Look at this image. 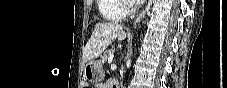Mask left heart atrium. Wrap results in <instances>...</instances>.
I'll return each mask as SVG.
<instances>
[{"label":"left heart atrium","mask_w":227,"mask_h":88,"mask_svg":"<svg viewBox=\"0 0 227 88\" xmlns=\"http://www.w3.org/2000/svg\"><path fill=\"white\" fill-rule=\"evenodd\" d=\"M135 3H140V1L139 0H135Z\"/></svg>","instance_id":"left-heart-atrium-1"}]
</instances>
